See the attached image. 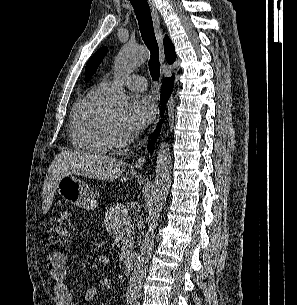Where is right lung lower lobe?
I'll return each instance as SVG.
<instances>
[{
    "mask_svg": "<svg viewBox=\"0 0 297 305\" xmlns=\"http://www.w3.org/2000/svg\"><path fill=\"white\" fill-rule=\"evenodd\" d=\"M172 90H173V80L169 79V78H165L163 81V84H162V90H161V96H160V99H161V112L160 113L161 114H163L166 102H167ZM159 133H160V125L157 127L155 132L151 135L152 140L149 145V149H151V150L153 149L152 147L155 142V138H157Z\"/></svg>",
    "mask_w": 297,
    "mask_h": 305,
    "instance_id": "98d812e1",
    "label": "right lung lower lobe"
}]
</instances>
